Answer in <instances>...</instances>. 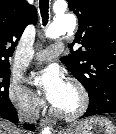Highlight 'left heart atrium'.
I'll use <instances>...</instances> for the list:
<instances>
[{
	"mask_svg": "<svg viewBox=\"0 0 116 134\" xmlns=\"http://www.w3.org/2000/svg\"><path fill=\"white\" fill-rule=\"evenodd\" d=\"M34 85L53 106L61 101L68 87L59 69L53 66L37 72L34 76Z\"/></svg>",
	"mask_w": 116,
	"mask_h": 134,
	"instance_id": "left-heart-atrium-1",
	"label": "left heart atrium"
}]
</instances>
